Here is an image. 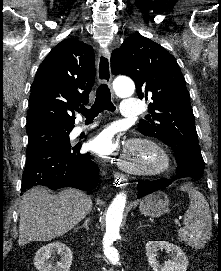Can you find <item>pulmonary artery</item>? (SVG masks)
I'll return each mask as SVG.
<instances>
[{
  "label": "pulmonary artery",
  "mask_w": 221,
  "mask_h": 271,
  "mask_svg": "<svg viewBox=\"0 0 221 271\" xmlns=\"http://www.w3.org/2000/svg\"><path fill=\"white\" fill-rule=\"evenodd\" d=\"M144 107L146 102H140L139 98H124L122 117H138V112L145 111Z\"/></svg>",
  "instance_id": "pulmonary-artery-1"
}]
</instances>
